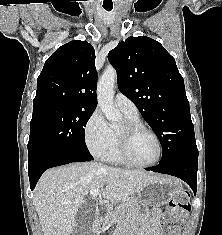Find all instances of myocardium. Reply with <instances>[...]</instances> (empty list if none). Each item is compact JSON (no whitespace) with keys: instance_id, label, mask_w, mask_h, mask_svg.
<instances>
[{"instance_id":"1","label":"myocardium","mask_w":222,"mask_h":235,"mask_svg":"<svg viewBox=\"0 0 222 235\" xmlns=\"http://www.w3.org/2000/svg\"><path fill=\"white\" fill-rule=\"evenodd\" d=\"M139 132H147L151 134L158 144V156L149 163H139L135 161L130 153V145L136 134ZM118 153L121 160L131 166L139 168H147L156 165L163 157V144L159 135L150 127L140 121L127 120L122 130L117 131Z\"/></svg>"}]
</instances>
